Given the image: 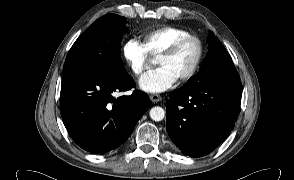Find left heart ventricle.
Segmentation results:
<instances>
[{"instance_id": "1", "label": "left heart ventricle", "mask_w": 294, "mask_h": 180, "mask_svg": "<svg viewBox=\"0 0 294 180\" xmlns=\"http://www.w3.org/2000/svg\"><path fill=\"white\" fill-rule=\"evenodd\" d=\"M197 54L196 44L192 41L184 44L173 56L159 58V66L166 67L177 79L189 71Z\"/></svg>"}]
</instances>
